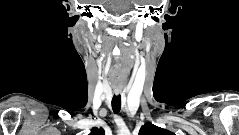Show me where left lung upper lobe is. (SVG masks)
<instances>
[{"instance_id":"left-lung-upper-lobe-1","label":"left lung upper lobe","mask_w":239,"mask_h":135,"mask_svg":"<svg viewBox=\"0 0 239 135\" xmlns=\"http://www.w3.org/2000/svg\"><path fill=\"white\" fill-rule=\"evenodd\" d=\"M139 135H174V133L148 122L141 127Z\"/></svg>"}]
</instances>
